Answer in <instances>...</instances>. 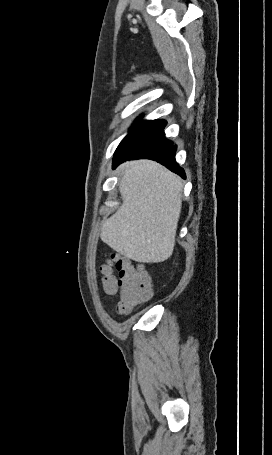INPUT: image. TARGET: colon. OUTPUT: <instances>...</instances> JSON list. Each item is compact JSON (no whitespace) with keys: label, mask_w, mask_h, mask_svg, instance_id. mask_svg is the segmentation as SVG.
I'll return each mask as SVG.
<instances>
[{"label":"colon","mask_w":272,"mask_h":455,"mask_svg":"<svg viewBox=\"0 0 272 455\" xmlns=\"http://www.w3.org/2000/svg\"><path fill=\"white\" fill-rule=\"evenodd\" d=\"M113 269L117 270L118 277L113 275ZM101 272L103 289L107 294L112 295L120 290L118 313H129L139 304L151 299L150 279L141 265L115 255L101 267Z\"/></svg>","instance_id":"colon-1"}]
</instances>
